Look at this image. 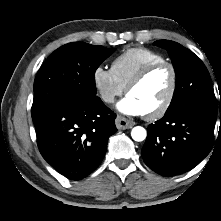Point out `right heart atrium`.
<instances>
[{"label": "right heart atrium", "mask_w": 221, "mask_h": 221, "mask_svg": "<svg viewBox=\"0 0 221 221\" xmlns=\"http://www.w3.org/2000/svg\"><path fill=\"white\" fill-rule=\"evenodd\" d=\"M93 84L101 98L106 104L114 103L115 99L122 95L125 87L116 79L110 69L98 66L93 71Z\"/></svg>", "instance_id": "1"}]
</instances>
